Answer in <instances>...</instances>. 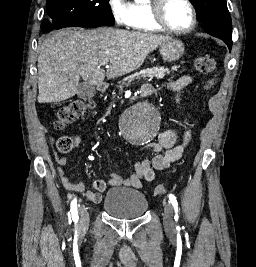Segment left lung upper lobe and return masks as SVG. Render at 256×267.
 <instances>
[{
    "mask_svg": "<svg viewBox=\"0 0 256 267\" xmlns=\"http://www.w3.org/2000/svg\"><path fill=\"white\" fill-rule=\"evenodd\" d=\"M198 14L203 29L232 48V21L226 0H190Z\"/></svg>",
    "mask_w": 256,
    "mask_h": 267,
    "instance_id": "1",
    "label": "left lung upper lobe"
}]
</instances>
